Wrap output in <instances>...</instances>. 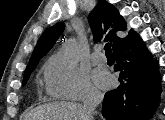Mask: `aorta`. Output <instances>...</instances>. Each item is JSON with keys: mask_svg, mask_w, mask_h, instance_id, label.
Here are the masks:
<instances>
[{"mask_svg": "<svg viewBox=\"0 0 165 120\" xmlns=\"http://www.w3.org/2000/svg\"><path fill=\"white\" fill-rule=\"evenodd\" d=\"M62 56L67 62L75 64L80 56V47L78 42L76 40L69 41L63 47Z\"/></svg>", "mask_w": 165, "mask_h": 120, "instance_id": "762f6f07", "label": "aorta"}]
</instances>
